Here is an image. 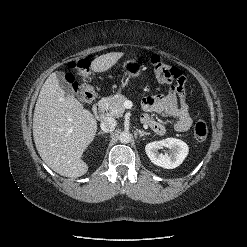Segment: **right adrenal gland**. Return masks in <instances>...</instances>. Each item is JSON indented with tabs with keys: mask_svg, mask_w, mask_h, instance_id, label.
<instances>
[{
	"mask_svg": "<svg viewBox=\"0 0 247 247\" xmlns=\"http://www.w3.org/2000/svg\"><path fill=\"white\" fill-rule=\"evenodd\" d=\"M105 133L104 132H99L98 135H104Z\"/></svg>",
	"mask_w": 247,
	"mask_h": 247,
	"instance_id": "1",
	"label": "right adrenal gland"
}]
</instances>
